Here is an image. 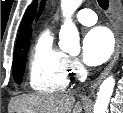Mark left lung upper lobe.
Returning <instances> with one entry per match:
<instances>
[{
    "mask_svg": "<svg viewBox=\"0 0 123 113\" xmlns=\"http://www.w3.org/2000/svg\"><path fill=\"white\" fill-rule=\"evenodd\" d=\"M44 5H45V0H42V1H41V6H40L39 15H40V13H41V12H42V10H43Z\"/></svg>",
    "mask_w": 123,
    "mask_h": 113,
    "instance_id": "left-lung-upper-lobe-1",
    "label": "left lung upper lobe"
}]
</instances>
